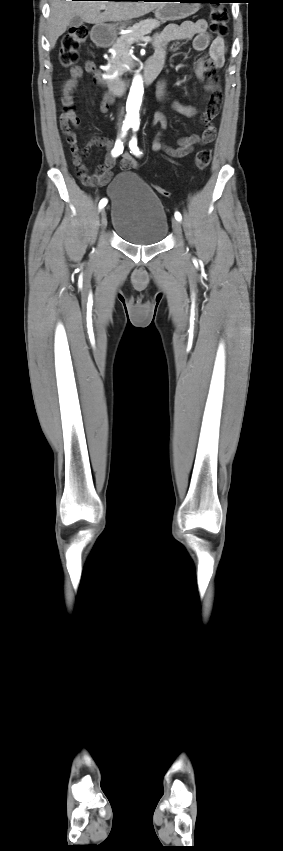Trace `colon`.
Returning <instances> with one entry per match:
<instances>
[{"label":"colon","instance_id":"1","mask_svg":"<svg viewBox=\"0 0 283 851\" xmlns=\"http://www.w3.org/2000/svg\"><path fill=\"white\" fill-rule=\"evenodd\" d=\"M209 19L210 30L213 34L217 36H224L227 34L228 15L223 7L214 6L210 11ZM88 34L89 30L87 26L80 25L70 29L63 35L59 50V61L61 65L68 67L78 61L79 48L86 41ZM207 134L212 135L213 130H207ZM211 157V149L203 148L199 150L195 156L196 167L200 170L205 169L209 165ZM78 175L83 182L88 183L90 181V177L80 171H78ZM157 191L162 197L168 198L170 196L169 191L161 187H157Z\"/></svg>","mask_w":283,"mask_h":851}]
</instances>
